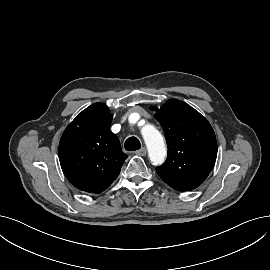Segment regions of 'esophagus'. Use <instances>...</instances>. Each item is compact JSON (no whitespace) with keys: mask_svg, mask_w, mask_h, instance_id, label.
Returning <instances> with one entry per match:
<instances>
[{"mask_svg":"<svg viewBox=\"0 0 270 270\" xmlns=\"http://www.w3.org/2000/svg\"><path fill=\"white\" fill-rule=\"evenodd\" d=\"M135 154L139 156H145L147 154V150L145 147H142L140 150H137Z\"/></svg>","mask_w":270,"mask_h":270,"instance_id":"obj_1","label":"esophagus"}]
</instances>
